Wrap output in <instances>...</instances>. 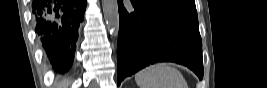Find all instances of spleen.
Instances as JSON below:
<instances>
[{
    "label": "spleen",
    "mask_w": 267,
    "mask_h": 88,
    "mask_svg": "<svg viewBox=\"0 0 267 88\" xmlns=\"http://www.w3.org/2000/svg\"><path fill=\"white\" fill-rule=\"evenodd\" d=\"M139 88H188L181 72L167 63H157L135 75Z\"/></svg>",
    "instance_id": "obj_1"
}]
</instances>
